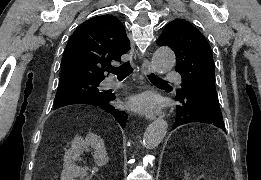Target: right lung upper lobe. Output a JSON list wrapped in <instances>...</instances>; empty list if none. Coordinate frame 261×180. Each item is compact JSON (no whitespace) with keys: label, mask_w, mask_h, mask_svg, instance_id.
Wrapping results in <instances>:
<instances>
[{"label":"right lung upper lobe","mask_w":261,"mask_h":180,"mask_svg":"<svg viewBox=\"0 0 261 180\" xmlns=\"http://www.w3.org/2000/svg\"><path fill=\"white\" fill-rule=\"evenodd\" d=\"M130 50L122 23L112 15L91 18L70 37L62 58L60 81H102L104 68Z\"/></svg>","instance_id":"cb5924a9"}]
</instances>
